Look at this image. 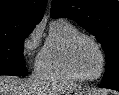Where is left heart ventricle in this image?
Segmentation results:
<instances>
[{
  "label": "left heart ventricle",
  "instance_id": "b2bd125f",
  "mask_svg": "<svg viewBox=\"0 0 119 95\" xmlns=\"http://www.w3.org/2000/svg\"><path fill=\"white\" fill-rule=\"evenodd\" d=\"M77 70L84 76H96L101 67V56L94 43L87 39L78 42L74 52Z\"/></svg>",
  "mask_w": 119,
  "mask_h": 95
}]
</instances>
